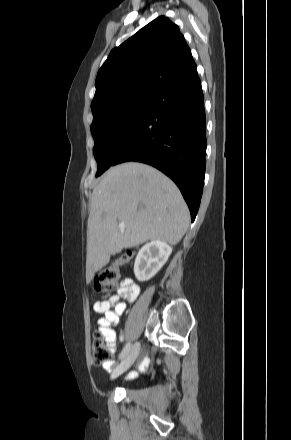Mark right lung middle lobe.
<instances>
[{"label":"right lung middle lobe","instance_id":"right-lung-middle-lobe-1","mask_svg":"<svg viewBox=\"0 0 291 440\" xmlns=\"http://www.w3.org/2000/svg\"><path fill=\"white\" fill-rule=\"evenodd\" d=\"M154 97L139 96L103 104L92 110L91 133L97 161L96 177L112 166L113 159L144 121Z\"/></svg>","mask_w":291,"mask_h":440}]
</instances>
